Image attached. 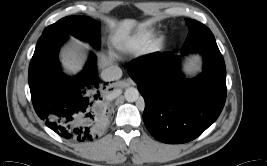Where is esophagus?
I'll return each instance as SVG.
<instances>
[{
  "instance_id": "obj_1",
  "label": "esophagus",
  "mask_w": 267,
  "mask_h": 166,
  "mask_svg": "<svg viewBox=\"0 0 267 166\" xmlns=\"http://www.w3.org/2000/svg\"><path fill=\"white\" fill-rule=\"evenodd\" d=\"M132 84H133V81L130 80V79H128V80H126V81L121 82V83H120V86H122V87H128V86H130V85H132Z\"/></svg>"
}]
</instances>
